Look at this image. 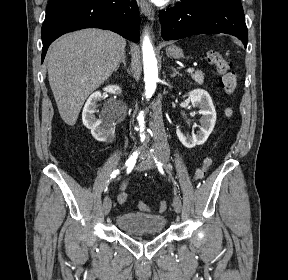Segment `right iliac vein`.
I'll return each instance as SVG.
<instances>
[{
	"label": "right iliac vein",
	"instance_id": "63e3f726",
	"mask_svg": "<svg viewBox=\"0 0 288 280\" xmlns=\"http://www.w3.org/2000/svg\"><path fill=\"white\" fill-rule=\"evenodd\" d=\"M111 207H112V201H111V198L109 195H107L105 198H104V201H103V210H104V214L105 215H108L110 210H111Z\"/></svg>",
	"mask_w": 288,
	"mask_h": 280
}]
</instances>
